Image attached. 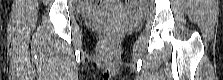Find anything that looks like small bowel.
Here are the masks:
<instances>
[{
	"mask_svg": "<svg viewBox=\"0 0 223 80\" xmlns=\"http://www.w3.org/2000/svg\"><path fill=\"white\" fill-rule=\"evenodd\" d=\"M111 4H112V3H111ZM98 6H99L98 3H88L87 6H86V9H88V10H94V9H96Z\"/></svg>",
	"mask_w": 223,
	"mask_h": 80,
	"instance_id": "small-bowel-1",
	"label": "small bowel"
}]
</instances>
